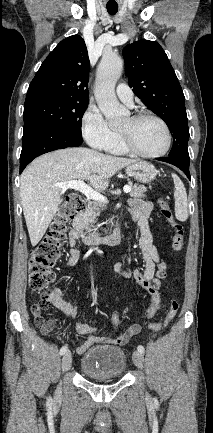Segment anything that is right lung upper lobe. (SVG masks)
Wrapping results in <instances>:
<instances>
[{"label":"right lung upper lobe","instance_id":"right-lung-upper-lobe-1","mask_svg":"<svg viewBox=\"0 0 213 433\" xmlns=\"http://www.w3.org/2000/svg\"><path fill=\"white\" fill-rule=\"evenodd\" d=\"M89 58L79 35L62 40L40 66L27 91L28 97L51 95L88 99Z\"/></svg>","mask_w":213,"mask_h":433}]
</instances>
